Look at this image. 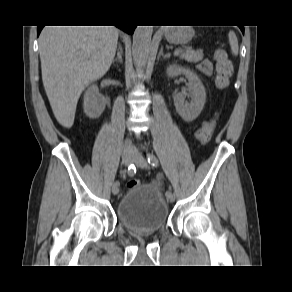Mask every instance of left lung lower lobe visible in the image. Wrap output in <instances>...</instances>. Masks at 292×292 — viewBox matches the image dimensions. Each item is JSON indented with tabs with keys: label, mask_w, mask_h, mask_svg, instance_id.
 <instances>
[{
	"label": "left lung lower lobe",
	"mask_w": 292,
	"mask_h": 292,
	"mask_svg": "<svg viewBox=\"0 0 292 292\" xmlns=\"http://www.w3.org/2000/svg\"><path fill=\"white\" fill-rule=\"evenodd\" d=\"M241 31L244 33V27L240 26Z\"/></svg>",
	"instance_id": "left-lung-lower-lobe-1"
}]
</instances>
